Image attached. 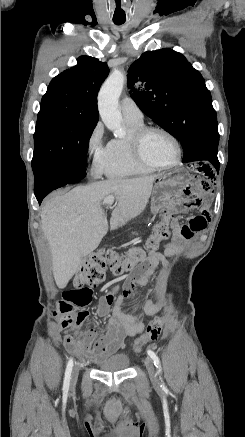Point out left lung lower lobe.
Segmentation results:
<instances>
[{
	"mask_svg": "<svg viewBox=\"0 0 245 437\" xmlns=\"http://www.w3.org/2000/svg\"><path fill=\"white\" fill-rule=\"evenodd\" d=\"M213 165L216 167V168H219V161H218V159L216 158V159H214V161H213Z\"/></svg>",
	"mask_w": 245,
	"mask_h": 437,
	"instance_id": "obj_1",
	"label": "left lung lower lobe"
}]
</instances>
